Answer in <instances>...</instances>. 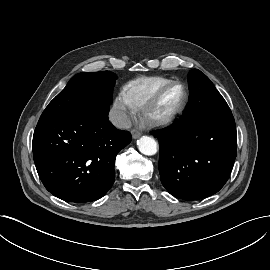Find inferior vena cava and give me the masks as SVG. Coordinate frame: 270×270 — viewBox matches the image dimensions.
Wrapping results in <instances>:
<instances>
[{"mask_svg":"<svg viewBox=\"0 0 270 270\" xmlns=\"http://www.w3.org/2000/svg\"><path fill=\"white\" fill-rule=\"evenodd\" d=\"M109 119L119 129H129L131 127V120L123 111L112 109L109 113Z\"/></svg>","mask_w":270,"mask_h":270,"instance_id":"inferior-vena-cava-1","label":"inferior vena cava"}]
</instances>
